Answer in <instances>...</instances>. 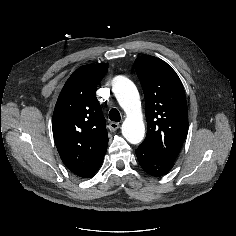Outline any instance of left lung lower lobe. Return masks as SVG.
<instances>
[{
  "label": "left lung lower lobe",
  "mask_w": 236,
  "mask_h": 236,
  "mask_svg": "<svg viewBox=\"0 0 236 236\" xmlns=\"http://www.w3.org/2000/svg\"><path fill=\"white\" fill-rule=\"evenodd\" d=\"M136 156L144 171L155 177L167 174L174 166L173 162L163 159L140 146L136 150Z\"/></svg>",
  "instance_id": "left-lung-lower-lobe-1"
}]
</instances>
